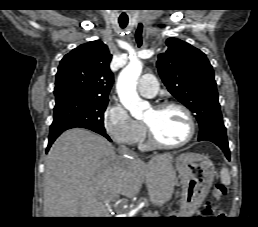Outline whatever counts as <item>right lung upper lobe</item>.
<instances>
[{"mask_svg": "<svg viewBox=\"0 0 258 227\" xmlns=\"http://www.w3.org/2000/svg\"><path fill=\"white\" fill-rule=\"evenodd\" d=\"M112 55L100 40L82 44L60 62L55 81V96L77 94L108 99L113 83L109 64Z\"/></svg>", "mask_w": 258, "mask_h": 227, "instance_id": "obj_1", "label": "right lung upper lobe"}]
</instances>
